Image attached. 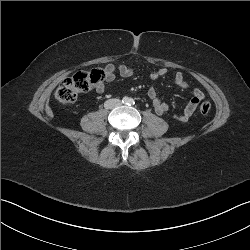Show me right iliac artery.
Here are the masks:
<instances>
[{
	"mask_svg": "<svg viewBox=\"0 0 250 250\" xmlns=\"http://www.w3.org/2000/svg\"><path fill=\"white\" fill-rule=\"evenodd\" d=\"M122 102H123L124 104H127V103L129 102V100H128L127 97H124L123 100H122Z\"/></svg>",
	"mask_w": 250,
	"mask_h": 250,
	"instance_id": "obj_1",
	"label": "right iliac artery"
}]
</instances>
